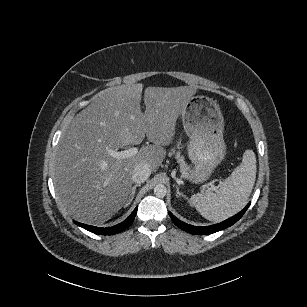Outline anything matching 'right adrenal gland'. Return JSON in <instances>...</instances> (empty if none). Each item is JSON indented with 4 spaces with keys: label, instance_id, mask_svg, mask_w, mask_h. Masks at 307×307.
I'll return each instance as SVG.
<instances>
[{
    "label": "right adrenal gland",
    "instance_id": "obj_1",
    "mask_svg": "<svg viewBox=\"0 0 307 307\" xmlns=\"http://www.w3.org/2000/svg\"><path fill=\"white\" fill-rule=\"evenodd\" d=\"M140 186H141V184H136V185H134V186L131 188V192H130V194H129L128 201H127V204H125V207L128 206V205L132 202V200L134 199V195H135V192H136V188H137V187H140Z\"/></svg>",
    "mask_w": 307,
    "mask_h": 307
}]
</instances>
